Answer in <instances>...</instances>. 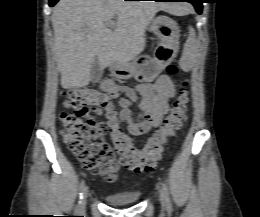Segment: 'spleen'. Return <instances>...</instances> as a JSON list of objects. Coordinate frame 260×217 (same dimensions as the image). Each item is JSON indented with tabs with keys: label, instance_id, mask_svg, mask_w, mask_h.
<instances>
[{
	"label": "spleen",
	"instance_id": "spleen-1",
	"mask_svg": "<svg viewBox=\"0 0 260 217\" xmlns=\"http://www.w3.org/2000/svg\"><path fill=\"white\" fill-rule=\"evenodd\" d=\"M196 33L194 31V29L190 26L189 27V36L188 39L186 40V43L184 45V49H183V54L185 57L191 55L196 47Z\"/></svg>",
	"mask_w": 260,
	"mask_h": 217
}]
</instances>
